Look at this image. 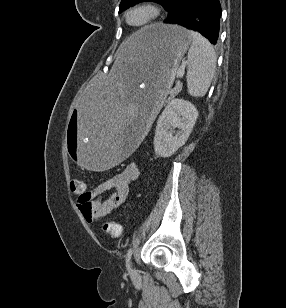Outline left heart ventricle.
I'll list each match as a JSON object with an SVG mask.
<instances>
[{
  "instance_id": "obj_1",
  "label": "left heart ventricle",
  "mask_w": 286,
  "mask_h": 308,
  "mask_svg": "<svg viewBox=\"0 0 286 308\" xmlns=\"http://www.w3.org/2000/svg\"><path fill=\"white\" fill-rule=\"evenodd\" d=\"M149 17V11L146 9H138L133 11L129 16V21L132 24H141L145 22Z\"/></svg>"
}]
</instances>
